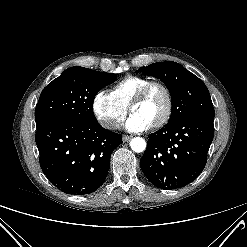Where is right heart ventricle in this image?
<instances>
[{
  "label": "right heart ventricle",
  "mask_w": 247,
  "mask_h": 247,
  "mask_svg": "<svg viewBox=\"0 0 247 247\" xmlns=\"http://www.w3.org/2000/svg\"><path fill=\"white\" fill-rule=\"evenodd\" d=\"M149 82L145 77L128 76L112 88L111 94L121 105L128 107L133 97Z\"/></svg>",
  "instance_id": "right-heart-ventricle-1"
}]
</instances>
